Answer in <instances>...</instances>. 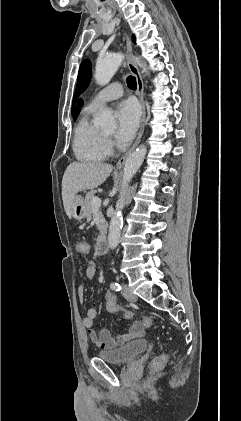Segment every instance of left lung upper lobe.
Masks as SVG:
<instances>
[{
	"label": "left lung upper lobe",
	"instance_id": "1",
	"mask_svg": "<svg viewBox=\"0 0 241 421\" xmlns=\"http://www.w3.org/2000/svg\"><path fill=\"white\" fill-rule=\"evenodd\" d=\"M133 40L135 41L134 37ZM91 78V64L89 60H84L79 68L76 92L73 97L72 110L76 104L77 98L89 85Z\"/></svg>",
	"mask_w": 241,
	"mask_h": 421
}]
</instances>
